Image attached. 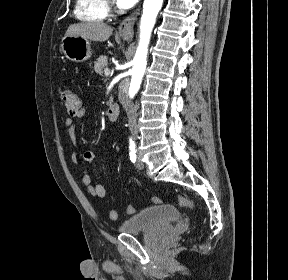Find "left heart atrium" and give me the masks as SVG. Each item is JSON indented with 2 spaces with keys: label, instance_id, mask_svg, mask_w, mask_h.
I'll list each match as a JSON object with an SVG mask.
<instances>
[{
  "label": "left heart atrium",
  "instance_id": "obj_1",
  "mask_svg": "<svg viewBox=\"0 0 288 280\" xmlns=\"http://www.w3.org/2000/svg\"><path fill=\"white\" fill-rule=\"evenodd\" d=\"M137 0H117V4L121 8H129L136 3Z\"/></svg>",
  "mask_w": 288,
  "mask_h": 280
}]
</instances>
